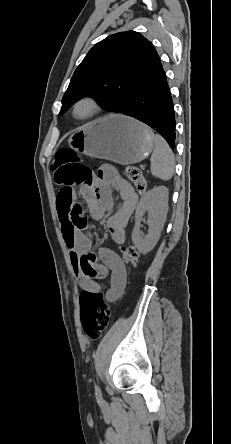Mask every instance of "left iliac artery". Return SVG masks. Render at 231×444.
<instances>
[{
    "label": "left iliac artery",
    "instance_id": "44dca946",
    "mask_svg": "<svg viewBox=\"0 0 231 444\" xmlns=\"http://www.w3.org/2000/svg\"><path fill=\"white\" fill-rule=\"evenodd\" d=\"M95 392H96V395H101L100 388L96 384H95Z\"/></svg>",
    "mask_w": 231,
    "mask_h": 444
}]
</instances>
